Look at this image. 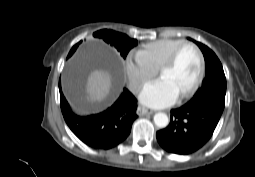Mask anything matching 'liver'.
Segmentation results:
<instances>
[{"label":"liver","mask_w":255,"mask_h":177,"mask_svg":"<svg viewBox=\"0 0 255 177\" xmlns=\"http://www.w3.org/2000/svg\"><path fill=\"white\" fill-rule=\"evenodd\" d=\"M112 88V77L108 71L93 70L86 80L85 99L89 103L103 101Z\"/></svg>","instance_id":"1"}]
</instances>
